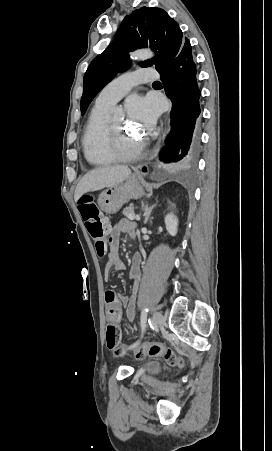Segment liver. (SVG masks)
<instances>
[{"label":"liver","instance_id":"6515ba94","mask_svg":"<svg viewBox=\"0 0 272 451\" xmlns=\"http://www.w3.org/2000/svg\"><path fill=\"white\" fill-rule=\"evenodd\" d=\"M131 170L128 166H104V168H95L81 178L76 186L74 200L78 202L79 198L86 192H94V190H102V188H110L114 184L124 182L129 178Z\"/></svg>","mask_w":272,"mask_h":451}]
</instances>
